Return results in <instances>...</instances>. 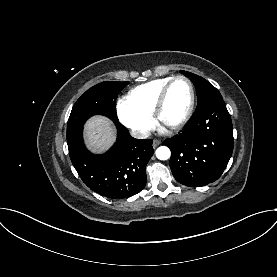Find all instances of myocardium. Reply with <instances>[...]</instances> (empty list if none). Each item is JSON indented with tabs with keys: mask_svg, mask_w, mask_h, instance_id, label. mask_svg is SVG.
Wrapping results in <instances>:
<instances>
[{
	"mask_svg": "<svg viewBox=\"0 0 277 277\" xmlns=\"http://www.w3.org/2000/svg\"><path fill=\"white\" fill-rule=\"evenodd\" d=\"M185 81L190 89V102L188 105V108L186 110V112L184 113V115L182 116V118L177 121L176 123L169 125V126H165L167 129L171 130V131H176L181 129L191 118L193 112H194V108H195V103H196V93H195V88L194 85L192 83V81L183 76V75H178L173 77L162 89V91L160 92L158 99L155 103V106L153 108V118L155 120L156 123L161 124V114L163 111V108L165 106L167 97H168V93L170 91V88L172 87V85L176 82V81Z\"/></svg>",
	"mask_w": 277,
	"mask_h": 277,
	"instance_id": "myocardium-1",
	"label": "myocardium"
}]
</instances>
